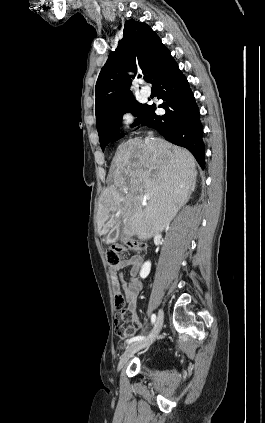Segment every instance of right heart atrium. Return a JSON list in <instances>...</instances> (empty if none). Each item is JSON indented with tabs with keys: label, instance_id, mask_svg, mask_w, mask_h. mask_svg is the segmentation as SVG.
<instances>
[{
	"label": "right heart atrium",
	"instance_id": "d8ad5b80",
	"mask_svg": "<svg viewBox=\"0 0 265 423\" xmlns=\"http://www.w3.org/2000/svg\"><path fill=\"white\" fill-rule=\"evenodd\" d=\"M136 117L132 109L126 108L119 114V124L123 129L131 128L135 123Z\"/></svg>",
	"mask_w": 265,
	"mask_h": 423
}]
</instances>
